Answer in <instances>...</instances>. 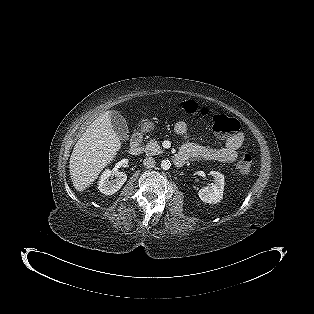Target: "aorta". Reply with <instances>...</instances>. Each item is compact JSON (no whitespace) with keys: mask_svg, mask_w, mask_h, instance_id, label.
<instances>
[{"mask_svg":"<svg viewBox=\"0 0 314 314\" xmlns=\"http://www.w3.org/2000/svg\"><path fill=\"white\" fill-rule=\"evenodd\" d=\"M170 167H171V163H170V161L168 159H165V160L161 161V168L163 170H168V169H170Z\"/></svg>","mask_w":314,"mask_h":314,"instance_id":"1","label":"aorta"}]
</instances>
